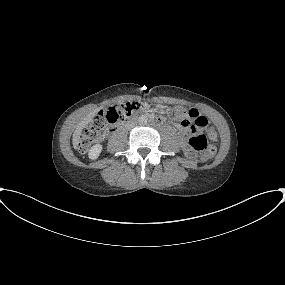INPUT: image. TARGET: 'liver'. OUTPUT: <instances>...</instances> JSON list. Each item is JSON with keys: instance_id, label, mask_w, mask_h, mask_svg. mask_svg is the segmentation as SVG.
<instances>
[{"instance_id": "6515ba94", "label": "liver", "mask_w": 285, "mask_h": 285, "mask_svg": "<svg viewBox=\"0 0 285 285\" xmlns=\"http://www.w3.org/2000/svg\"><path fill=\"white\" fill-rule=\"evenodd\" d=\"M100 108H97L95 110H93L92 112H90L86 117H84V119L77 125L74 134H73V138H72V143H73V147L75 149H77L78 144L80 142V135L82 132V129L84 127L87 126L88 123H90L93 119V117L97 114V112L99 111Z\"/></svg>"}]
</instances>
